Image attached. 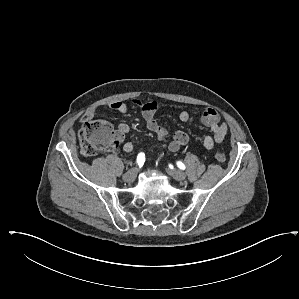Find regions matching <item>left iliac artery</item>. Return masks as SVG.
<instances>
[{
  "label": "left iliac artery",
  "mask_w": 299,
  "mask_h": 299,
  "mask_svg": "<svg viewBox=\"0 0 299 299\" xmlns=\"http://www.w3.org/2000/svg\"><path fill=\"white\" fill-rule=\"evenodd\" d=\"M177 166L182 170H185V168H186L185 165L181 161L177 162Z\"/></svg>",
  "instance_id": "obj_1"
}]
</instances>
